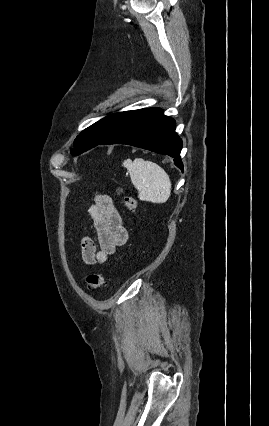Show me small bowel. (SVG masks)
Returning <instances> with one entry per match:
<instances>
[{
    "mask_svg": "<svg viewBox=\"0 0 269 426\" xmlns=\"http://www.w3.org/2000/svg\"><path fill=\"white\" fill-rule=\"evenodd\" d=\"M89 213L99 249L97 250L91 238L84 237L80 241L81 258L88 266L103 265L127 242L128 233L119 211L109 196L98 194Z\"/></svg>",
    "mask_w": 269,
    "mask_h": 426,
    "instance_id": "1",
    "label": "small bowel"
}]
</instances>
